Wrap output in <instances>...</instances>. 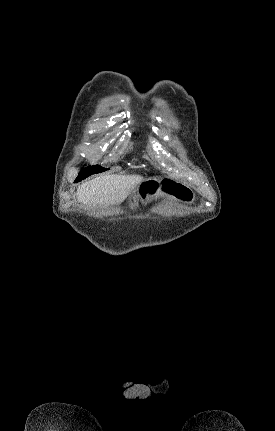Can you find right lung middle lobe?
Listing matches in <instances>:
<instances>
[{
  "instance_id": "obj_1",
  "label": "right lung middle lobe",
  "mask_w": 275,
  "mask_h": 431,
  "mask_svg": "<svg viewBox=\"0 0 275 431\" xmlns=\"http://www.w3.org/2000/svg\"><path fill=\"white\" fill-rule=\"evenodd\" d=\"M105 170H108V169L102 168L98 165L89 166L86 169H82V171L79 173L75 182H78V181H80V180H82V179H84V178H86L92 174L100 173V172H103Z\"/></svg>"
}]
</instances>
